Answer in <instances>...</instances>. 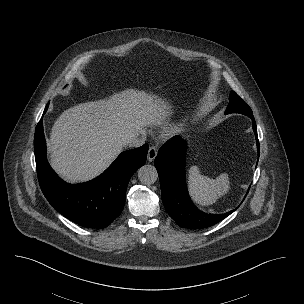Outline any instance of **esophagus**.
<instances>
[{"mask_svg":"<svg viewBox=\"0 0 304 304\" xmlns=\"http://www.w3.org/2000/svg\"><path fill=\"white\" fill-rule=\"evenodd\" d=\"M157 156V149L155 147H150L147 154V159L149 162L154 161Z\"/></svg>","mask_w":304,"mask_h":304,"instance_id":"esophagus-1","label":"esophagus"}]
</instances>
